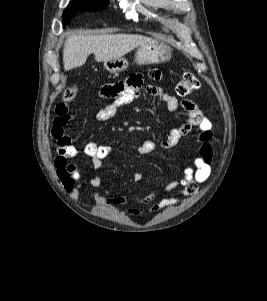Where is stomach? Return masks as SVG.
Returning a JSON list of instances; mask_svg holds the SVG:
<instances>
[{
    "label": "stomach",
    "mask_w": 267,
    "mask_h": 301,
    "mask_svg": "<svg viewBox=\"0 0 267 301\" xmlns=\"http://www.w3.org/2000/svg\"><path fill=\"white\" fill-rule=\"evenodd\" d=\"M171 47L157 40H152L138 47L135 55L137 64H161L170 60ZM128 62L124 58H118L104 62V68L110 73H119L126 70Z\"/></svg>",
    "instance_id": "0dacf381"
}]
</instances>
